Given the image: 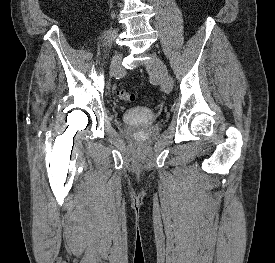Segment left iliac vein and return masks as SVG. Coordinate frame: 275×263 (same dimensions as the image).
<instances>
[{"label": "left iliac vein", "instance_id": "4c4485c4", "mask_svg": "<svg viewBox=\"0 0 275 263\" xmlns=\"http://www.w3.org/2000/svg\"><path fill=\"white\" fill-rule=\"evenodd\" d=\"M146 68L148 72L156 76L162 90L165 93H170L172 90V80L165 63L156 55H151V58L147 61Z\"/></svg>", "mask_w": 275, "mask_h": 263}]
</instances>
